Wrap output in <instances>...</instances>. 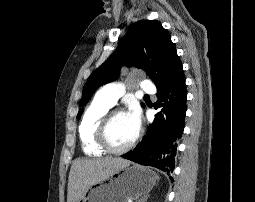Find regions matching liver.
I'll return each instance as SVG.
<instances>
[{"mask_svg":"<svg viewBox=\"0 0 255 202\" xmlns=\"http://www.w3.org/2000/svg\"><path fill=\"white\" fill-rule=\"evenodd\" d=\"M129 165L130 161L118 157L75 160L68 178L67 202H76L88 187Z\"/></svg>","mask_w":255,"mask_h":202,"instance_id":"liver-1","label":"liver"}]
</instances>
